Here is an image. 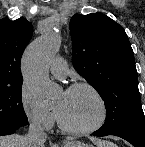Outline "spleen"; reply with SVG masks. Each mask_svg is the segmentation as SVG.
<instances>
[{"instance_id":"obj_1","label":"spleen","mask_w":145,"mask_h":147,"mask_svg":"<svg viewBox=\"0 0 145 147\" xmlns=\"http://www.w3.org/2000/svg\"><path fill=\"white\" fill-rule=\"evenodd\" d=\"M112 146H114V145H107V147H112Z\"/></svg>"}]
</instances>
